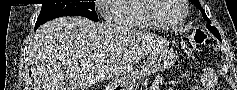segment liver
Returning <instances> with one entry per match:
<instances>
[{
  "label": "liver",
  "instance_id": "obj_1",
  "mask_svg": "<svg viewBox=\"0 0 237 90\" xmlns=\"http://www.w3.org/2000/svg\"><path fill=\"white\" fill-rule=\"evenodd\" d=\"M119 28L86 18H57L34 34L30 50L37 90H88L119 74L124 62Z\"/></svg>",
  "mask_w": 237,
  "mask_h": 90
}]
</instances>
